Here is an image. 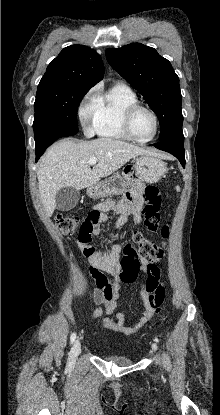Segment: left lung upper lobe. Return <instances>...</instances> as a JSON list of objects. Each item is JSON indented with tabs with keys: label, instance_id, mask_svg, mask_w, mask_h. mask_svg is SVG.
Segmentation results:
<instances>
[{
	"label": "left lung upper lobe",
	"instance_id": "left-lung-upper-lobe-1",
	"mask_svg": "<svg viewBox=\"0 0 220 415\" xmlns=\"http://www.w3.org/2000/svg\"><path fill=\"white\" fill-rule=\"evenodd\" d=\"M105 54L113 69L144 96L156 113L160 142L184 137L179 78L170 62L154 48L140 43L108 48Z\"/></svg>",
	"mask_w": 220,
	"mask_h": 415
}]
</instances>
